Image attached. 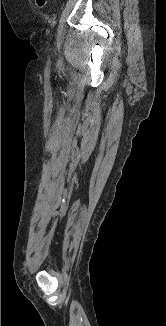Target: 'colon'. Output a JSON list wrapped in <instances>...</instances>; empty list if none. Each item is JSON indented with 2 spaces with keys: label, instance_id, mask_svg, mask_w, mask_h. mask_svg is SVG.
<instances>
[{
  "label": "colon",
  "instance_id": "colon-1",
  "mask_svg": "<svg viewBox=\"0 0 166 326\" xmlns=\"http://www.w3.org/2000/svg\"><path fill=\"white\" fill-rule=\"evenodd\" d=\"M38 8L44 9L48 5V0H36Z\"/></svg>",
  "mask_w": 166,
  "mask_h": 326
}]
</instances>
